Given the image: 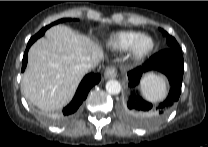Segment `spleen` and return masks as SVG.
I'll use <instances>...</instances> for the list:
<instances>
[{
	"label": "spleen",
	"mask_w": 208,
	"mask_h": 147,
	"mask_svg": "<svg viewBox=\"0 0 208 147\" xmlns=\"http://www.w3.org/2000/svg\"><path fill=\"white\" fill-rule=\"evenodd\" d=\"M143 96L151 102L162 101L167 94L166 80L157 75L144 78L140 85Z\"/></svg>",
	"instance_id": "3e777b00"
}]
</instances>
